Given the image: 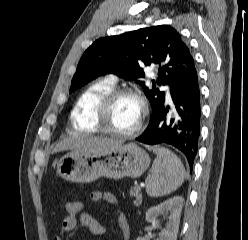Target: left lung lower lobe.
I'll return each instance as SVG.
<instances>
[{"mask_svg":"<svg viewBox=\"0 0 248 240\" xmlns=\"http://www.w3.org/2000/svg\"><path fill=\"white\" fill-rule=\"evenodd\" d=\"M174 105L165 103L153 113L144 133L137 141L149 144H170L180 150L193 166L198 150L201 122L200 87L195 70L182 83L170 90ZM172 114H168L169 110Z\"/></svg>","mask_w":248,"mask_h":240,"instance_id":"1","label":"left lung lower lobe"}]
</instances>
